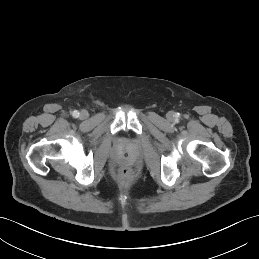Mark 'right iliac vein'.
I'll list each match as a JSON object with an SVG mask.
<instances>
[{"label":"right iliac vein","mask_w":259,"mask_h":259,"mask_svg":"<svg viewBox=\"0 0 259 259\" xmlns=\"http://www.w3.org/2000/svg\"><path fill=\"white\" fill-rule=\"evenodd\" d=\"M88 117V112L86 110H82L80 112V118L81 119H86Z\"/></svg>","instance_id":"right-iliac-vein-1"}]
</instances>
